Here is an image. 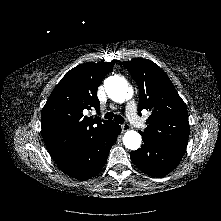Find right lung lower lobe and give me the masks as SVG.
<instances>
[{
    "instance_id": "98d812e1",
    "label": "right lung lower lobe",
    "mask_w": 221,
    "mask_h": 221,
    "mask_svg": "<svg viewBox=\"0 0 221 221\" xmlns=\"http://www.w3.org/2000/svg\"><path fill=\"white\" fill-rule=\"evenodd\" d=\"M120 132V125L112 122L105 133L72 158L57 163L58 167L67 175L79 180L93 177L105 165L109 151Z\"/></svg>"
}]
</instances>
